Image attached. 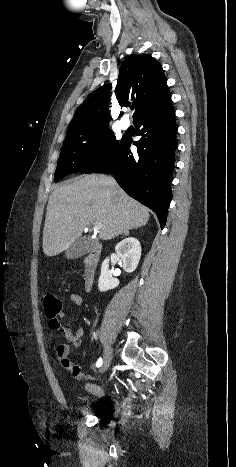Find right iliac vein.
<instances>
[{
	"instance_id": "obj_1",
	"label": "right iliac vein",
	"mask_w": 236,
	"mask_h": 467,
	"mask_svg": "<svg viewBox=\"0 0 236 467\" xmlns=\"http://www.w3.org/2000/svg\"><path fill=\"white\" fill-rule=\"evenodd\" d=\"M111 361H112V349L109 346H107L104 351V358H103V363L101 367V372H105L108 370V368L110 367Z\"/></svg>"
}]
</instances>
